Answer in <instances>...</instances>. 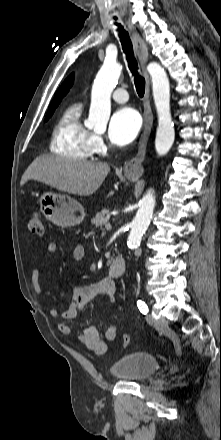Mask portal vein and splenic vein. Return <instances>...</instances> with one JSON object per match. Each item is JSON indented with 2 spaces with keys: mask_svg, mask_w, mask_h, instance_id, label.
Instances as JSON below:
<instances>
[{
  "mask_svg": "<svg viewBox=\"0 0 221 440\" xmlns=\"http://www.w3.org/2000/svg\"><path fill=\"white\" fill-rule=\"evenodd\" d=\"M106 230H110L112 228V225L110 223H107L105 225Z\"/></svg>",
  "mask_w": 221,
  "mask_h": 440,
  "instance_id": "portal-vein-and-splenic-vein-1",
  "label": "portal vein and splenic vein"
}]
</instances>
